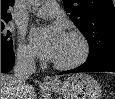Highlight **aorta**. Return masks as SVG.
I'll use <instances>...</instances> for the list:
<instances>
[{
  "instance_id": "obj_1",
  "label": "aorta",
  "mask_w": 115,
  "mask_h": 99,
  "mask_svg": "<svg viewBox=\"0 0 115 99\" xmlns=\"http://www.w3.org/2000/svg\"><path fill=\"white\" fill-rule=\"evenodd\" d=\"M35 2H37V4H39L41 1H35Z\"/></svg>"
}]
</instances>
